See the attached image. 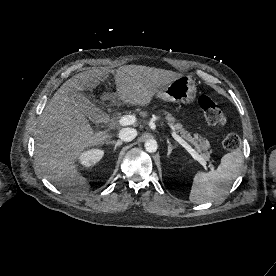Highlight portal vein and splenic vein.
<instances>
[{"mask_svg": "<svg viewBox=\"0 0 276 276\" xmlns=\"http://www.w3.org/2000/svg\"><path fill=\"white\" fill-rule=\"evenodd\" d=\"M136 122V118L133 115H125L122 116L119 119V124L121 126H128V125H132ZM172 136L173 138L180 144L182 145L191 155L192 157L197 160L205 169L210 168L211 170H213V165L208 164L206 162V160L199 155L195 149H193L184 139H182L178 134H176L175 132H172Z\"/></svg>", "mask_w": 276, "mask_h": 276, "instance_id": "18ae733b", "label": "portal vein and splenic vein"}]
</instances>
